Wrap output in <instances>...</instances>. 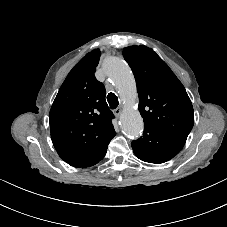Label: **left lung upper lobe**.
<instances>
[{"label": "left lung upper lobe", "instance_id": "5c2ea615", "mask_svg": "<svg viewBox=\"0 0 227 227\" xmlns=\"http://www.w3.org/2000/svg\"><path fill=\"white\" fill-rule=\"evenodd\" d=\"M123 56L136 79L144 127L186 142L194 124V112L182 83L151 48L129 46L124 48Z\"/></svg>", "mask_w": 227, "mask_h": 227}]
</instances>
